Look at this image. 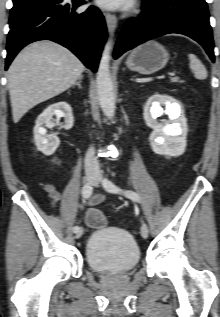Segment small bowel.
Wrapping results in <instances>:
<instances>
[{
  "instance_id": "1",
  "label": "small bowel",
  "mask_w": 220,
  "mask_h": 317,
  "mask_svg": "<svg viewBox=\"0 0 220 317\" xmlns=\"http://www.w3.org/2000/svg\"><path fill=\"white\" fill-rule=\"evenodd\" d=\"M44 189L48 193V196H49L50 201H51V206L54 207L56 205V203L60 200V197H61L60 193L56 190L54 185L51 183L44 184ZM103 199H104L103 194H96L90 198V200L88 201V205L94 206V205L100 203Z\"/></svg>"
}]
</instances>
